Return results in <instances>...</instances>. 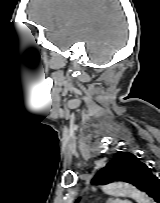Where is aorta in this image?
Masks as SVG:
<instances>
[{"label":"aorta","instance_id":"1","mask_svg":"<svg viewBox=\"0 0 160 203\" xmlns=\"http://www.w3.org/2000/svg\"><path fill=\"white\" fill-rule=\"evenodd\" d=\"M104 191L110 195L130 197L137 203H152L145 193L128 183L113 182L105 186Z\"/></svg>","mask_w":160,"mask_h":203}]
</instances>
